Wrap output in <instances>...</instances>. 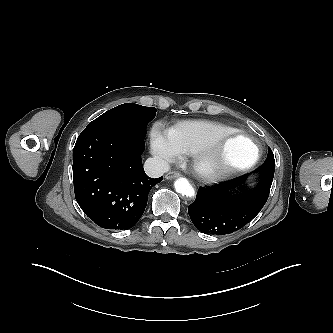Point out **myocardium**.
<instances>
[{
  "instance_id": "myocardium-1",
  "label": "myocardium",
  "mask_w": 333,
  "mask_h": 333,
  "mask_svg": "<svg viewBox=\"0 0 333 333\" xmlns=\"http://www.w3.org/2000/svg\"><path fill=\"white\" fill-rule=\"evenodd\" d=\"M236 138L248 141L255 149L254 155L243 164H229L221 161L219 154L223 144ZM260 155V147L251 136L243 131L233 130L215 137L208 144L193 152L191 162L193 171L199 178L207 182H216L249 170L259 161Z\"/></svg>"
}]
</instances>
